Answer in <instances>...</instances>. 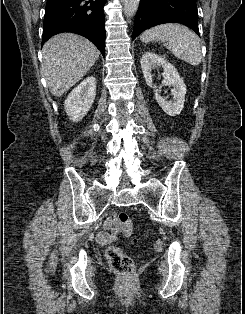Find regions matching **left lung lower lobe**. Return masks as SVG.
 Instances as JSON below:
<instances>
[{
	"label": "left lung lower lobe",
	"mask_w": 245,
	"mask_h": 314,
	"mask_svg": "<svg viewBox=\"0 0 245 314\" xmlns=\"http://www.w3.org/2000/svg\"><path fill=\"white\" fill-rule=\"evenodd\" d=\"M164 23H180L199 34L196 0H140L132 39Z\"/></svg>",
	"instance_id": "obj_1"
}]
</instances>
